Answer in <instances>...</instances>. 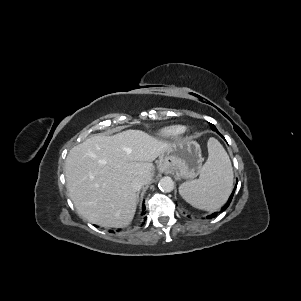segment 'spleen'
<instances>
[{"label": "spleen", "mask_w": 301, "mask_h": 301, "mask_svg": "<svg viewBox=\"0 0 301 301\" xmlns=\"http://www.w3.org/2000/svg\"><path fill=\"white\" fill-rule=\"evenodd\" d=\"M208 159L198 179L179 187L182 198L195 208L215 211L228 199L233 187V171L229 156L215 139L208 141Z\"/></svg>", "instance_id": "obj_1"}]
</instances>
